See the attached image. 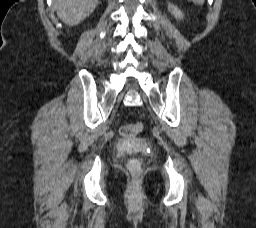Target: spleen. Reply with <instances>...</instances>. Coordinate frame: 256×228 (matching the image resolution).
<instances>
[{"mask_svg": "<svg viewBox=\"0 0 256 228\" xmlns=\"http://www.w3.org/2000/svg\"><path fill=\"white\" fill-rule=\"evenodd\" d=\"M189 1L195 2L200 5L204 3V0H189Z\"/></svg>", "mask_w": 256, "mask_h": 228, "instance_id": "3e777b00", "label": "spleen"}]
</instances>
